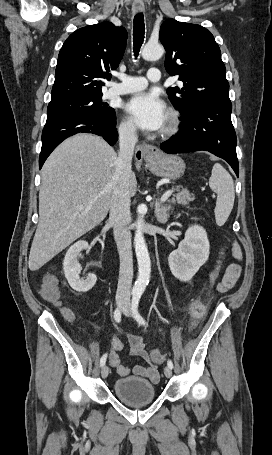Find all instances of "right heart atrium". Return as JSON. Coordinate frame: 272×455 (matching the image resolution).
<instances>
[{"label":"right heart atrium","instance_id":"d8ad5b80","mask_svg":"<svg viewBox=\"0 0 272 455\" xmlns=\"http://www.w3.org/2000/svg\"><path fill=\"white\" fill-rule=\"evenodd\" d=\"M119 134L126 141H134L137 137L136 128L132 121L123 119L119 126Z\"/></svg>","mask_w":272,"mask_h":455}]
</instances>
